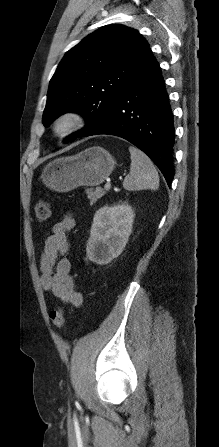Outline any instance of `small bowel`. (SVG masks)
I'll list each match as a JSON object with an SVG mask.
<instances>
[{
  "instance_id": "small-bowel-1",
  "label": "small bowel",
  "mask_w": 219,
  "mask_h": 447,
  "mask_svg": "<svg viewBox=\"0 0 219 447\" xmlns=\"http://www.w3.org/2000/svg\"><path fill=\"white\" fill-rule=\"evenodd\" d=\"M76 225L72 213H65L51 227L40 256V282L43 288L55 297L75 308L82 305L83 297L77 291L71 274V263L64 257L69 250L68 232Z\"/></svg>"
}]
</instances>
